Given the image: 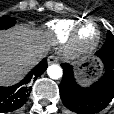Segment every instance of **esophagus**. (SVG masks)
<instances>
[{
	"mask_svg": "<svg viewBox=\"0 0 114 114\" xmlns=\"http://www.w3.org/2000/svg\"><path fill=\"white\" fill-rule=\"evenodd\" d=\"M48 61V64H54V63H57L58 62V57L55 56V55H50L47 59Z\"/></svg>",
	"mask_w": 114,
	"mask_h": 114,
	"instance_id": "esophagus-1",
	"label": "esophagus"
}]
</instances>
